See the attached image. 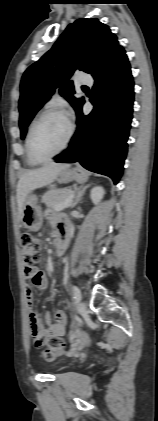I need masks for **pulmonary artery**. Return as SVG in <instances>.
<instances>
[{
	"label": "pulmonary artery",
	"instance_id": "e3ab8cb5",
	"mask_svg": "<svg viewBox=\"0 0 158 421\" xmlns=\"http://www.w3.org/2000/svg\"><path fill=\"white\" fill-rule=\"evenodd\" d=\"M79 81L80 83L85 84V85H91L93 83L92 77L87 76V75L81 76Z\"/></svg>",
	"mask_w": 158,
	"mask_h": 421
}]
</instances>
